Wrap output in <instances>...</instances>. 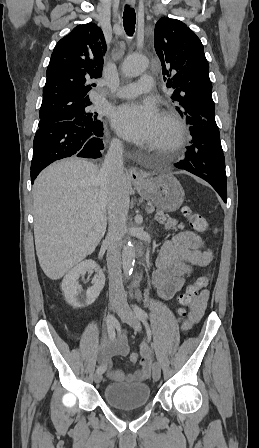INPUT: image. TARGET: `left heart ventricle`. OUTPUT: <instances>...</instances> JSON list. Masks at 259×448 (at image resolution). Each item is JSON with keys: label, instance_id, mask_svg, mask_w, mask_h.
<instances>
[{"label": "left heart ventricle", "instance_id": "b2bd125f", "mask_svg": "<svg viewBox=\"0 0 259 448\" xmlns=\"http://www.w3.org/2000/svg\"><path fill=\"white\" fill-rule=\"evenodd\" d=\"M171 137V130L169 126L161 120L160 126L151 135V144L156 149H161Z\"/></svg>", "mask_w": 259, "mask_h": 448}]
</instances>
